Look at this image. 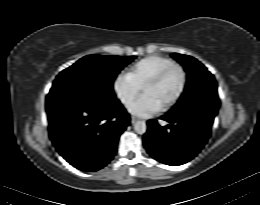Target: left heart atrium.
I'll return each mask as SVG.
<instances>
[{
  "mask_svg": "<svg viewBox=\"0 0 260 205\" xmlns=\"http://www.w3.org/2000/svg\"><path fill=\"white\" fill-rule=\"evenodd\" d=\"M149 107L151 108V110L157 111L158 108L161 107V106L156 104L155 102H153V100H151L150 98H145L141 102L134 105L133 110L135 112H141V111H143V110H145L146 108H149Z\"/></svg>",
  "mask_w": 260,
  "mask_h": 205,
  "instance_id": "left-heart-atrium-1",
  "label": "left heart atrium"
}]
</instances>
